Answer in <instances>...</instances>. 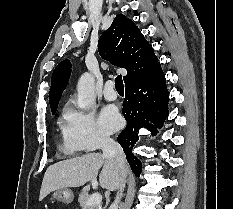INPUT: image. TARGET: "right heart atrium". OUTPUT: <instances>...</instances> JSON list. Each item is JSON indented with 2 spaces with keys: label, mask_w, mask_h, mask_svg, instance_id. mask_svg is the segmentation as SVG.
Segmentation results:
<instances>
[{
  "label": "right heart atrium",
  "mask_w": 233,
  "mask_h": 209,
  "mask_svg": "<svg viewBox=\"0 0 233 209\" xmlns=\"http://www.w3.org/2000/svg\"><path fill=\"white\" fill-rule=\"evenodd\" d=\"M63 134L65 142L79 151H94L112 141L98 125L92 110L76 106L67 110Z\"/></svg>",
  "instance_id": "1"
}]
</instances>
